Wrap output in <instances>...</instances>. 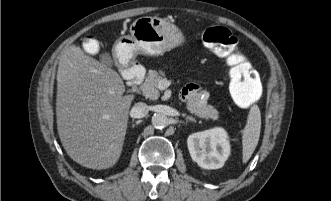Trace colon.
I'll use <instances>...</instances> for the list:
<instances>
[{
	"mask_svg": "<svg viewBox=\"0 0 331 201\" xmlns=\"http://www.w3.org/2000/svg\"><path fill=\"white\" fill-rule=\"evenodd\" d=\"M201 38L218 56L225 58L229 66L230 92L235 103L241 108L253 106L261 96L262 85L257 73L238 51L236 37L224 27L212 26L201 32ZM84 48L89 54H96L99 43L88 37Z\"/></svg>",
	"mask_w": 331,
	"mask_h": 201,
	"instance_id": "5ec220e1",
	"label": "colon"
}]
</instances>
